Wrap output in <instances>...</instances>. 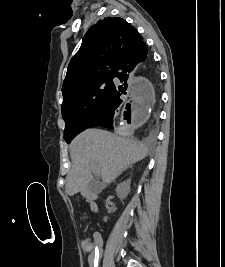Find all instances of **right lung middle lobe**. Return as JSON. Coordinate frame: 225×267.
Wrapping results in <instances>:
<instances>
[{"label": "right lung middle lobe", "mask_w": 225, "mask_h": 267, "mask_svg": "<svg viewBox=\"0 0 225 267\" xmlns=\"http://www.w3.org/2000/svg\"><path fill=\"white\" fill-rule=\"evenodd\" d=\"M114 75L90 81L63 96L62 116L66 123L67 143L88 128L108 103L114 89Z\"/></svg>", "instance_id": "obj_1"}]
</instances>
